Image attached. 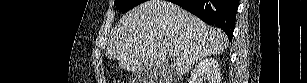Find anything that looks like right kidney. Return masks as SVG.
Returning a JSON list of instances; mask_svg holds the SVG:
<instances>
[{"label": "right kidney", "instance_id": "obj_1", "mask_svg": "<svg viewBox=\"0 0 307 83\" xmlns=\"http://www.w3.org/2000/svg\"><path fill=\"white\" fill-rule=\"evenodd\" d=\"M220 83L221 73L217 60L214 58H206L195 65L191 73L189 83Z\"/></svg>", "mask_w": 307, "mask_h": 83}]
</instances>
